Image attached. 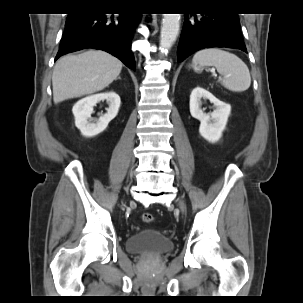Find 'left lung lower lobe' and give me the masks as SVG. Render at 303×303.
<instances>
[{"instance_id":"0a47b994","label":"left lung lower lobe","mask_w":303,"mask_h":303,"mask_svg":"<svg viewBox=\"0 0 303 303\" xmlns=\"http://www.w3.org/2000/svg\"><path fill=\"white\" fill-rule=\"evenodd\" d=\"M190 16H184L177 49L179 62L203 48L228 47L247 52L236 13L211 11L199 16Z\"/></svg>"}]
</instances>
